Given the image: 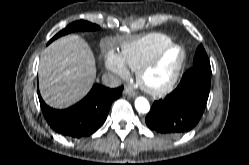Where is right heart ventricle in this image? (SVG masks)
Returning a JSON list of instances; mask_svg holds the SVG:
<instances>
[{
  "instance_id": "1",
  "label": "right heart ventricle",
  "mask_w": 249,
  "mask_h": 165,
  "mask_svg": "<svg viewBox=\"0 0 249 165\" xmlns=\"http://www.w3.org/2000/svg\"><path fill=\"white\" fill-rule=\"evenodd\" d=\"M172 44V39L163 33H151L127 43L121 48V58L128 68L137 70L145 61L156 57Z\"/></svg>"
}]
</instances>
